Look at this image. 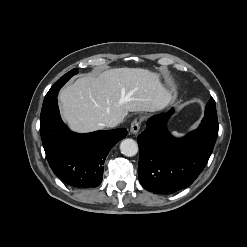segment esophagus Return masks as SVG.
<instances>
[{"mask_svg": "<svg viewBox=\"0 0 247 247\" xmlns=\"http://www.w3.org/2000/svg\"><path fill=\"white\" fill-rule=\"evenodd\" d=\"M140 127H141V120L140 119H134L131 123V126H130L131 133L137 134L140 130Z\"/></svg>", "mask_w": 247, "mask_h": 247, "instance_id": "obj_1", "label": "esophagus"}]
</instances>
